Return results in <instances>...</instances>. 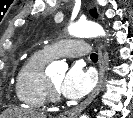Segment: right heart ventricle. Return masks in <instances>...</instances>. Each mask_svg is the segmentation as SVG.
I'll use <instances>...</instances> for the list:
<instances>
[{"mask_svg":"<svg viewBox=\"0 0 133 118\" xmlns=\"http://www.w3.org/2000/svg\"><path fill=\"white\" fill-rule=\"evenodd\" d=\"M51 57L44 51L34 52L22 65L15 83L18 101L27 108H42L48 101L45 64Z\"/></svg>","mask_w":133,"mask_h":118,"instance_id":"e07e8e85","label":"right heart ventricle"}]
</instances>
